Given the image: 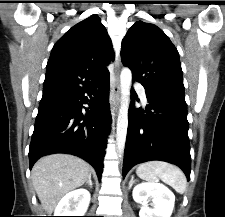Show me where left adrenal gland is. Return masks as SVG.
<instances>
[{"instance_id":"1","label":"left adrenal gland","mask_w":225,"mask_h":217,"mask_svg":"<svg viewBox=\"0 0 225 217\" xmlns=\"http://www.w3.org/2000/svg\"><path fill=\"white\" fill-rule=\"evenodd\" d=\"M134 175L131 176V180L129 182V189L132 187L133 183H134Z\"/></svg>"}]
</instances>
